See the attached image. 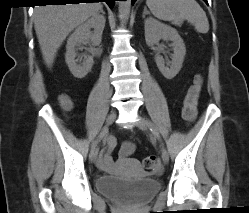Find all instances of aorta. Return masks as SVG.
<instances>
[{"label": "aorta", "mask_w": 249, "mask_h": 213, "mask_svg": "<svg viewBox=\"0 0 249 213\" xmlns=\"http://www.w3.org/2000/svg\"><path fill=\"white\" fill-rule=\"evenodd\" d=\"M130 9H131V0L118 1V10L122 22L125 23L128 20Z\"/></svg>", "instance_id": "obj_1"}]
</instances>
